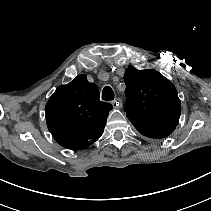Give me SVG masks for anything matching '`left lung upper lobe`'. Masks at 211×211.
<instances>
[{
    "instance_id": "left-lung-upper-lobe-1",
    "label": "left lung upper lobe",
    "mask_w": 211,
    "mask_h": 211,
    "mask_svg": "<svg viewBox=\"0 0 211 211\" xmlns=\"http://www.w3.org/2000/svg\"><path fill=\"white\" fill-rule=\"evenodd\" d=\"M124 110L134 127L157 140L169 136L179 122L181 103L174 85L155 70L126 69Z\"/></svg>"
}]
</instances>
